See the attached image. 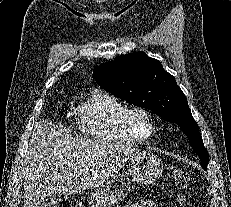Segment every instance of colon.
Instances as JSON below:
<instances>
[{
    "label": "colon",
    "mask_w": 231,
    "mask_h": 207,
    "mask_svg": "<svg viewBox=\"0 0 231 207\" xmlns=\"http://www.w3.org/2000/svg\"><path fill=\"white\" fill-rule=\"evenodd\" d=\"M172 179L179 191H185L190 187L191 177L183 170L175 171L172 174ZM47 207H76V203L71 198H64L51 202Z\"/></svg>",
    "instance_id": "5ec220e1"
}]
</instances>
